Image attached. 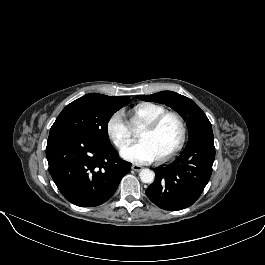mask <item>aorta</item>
<instances>
[{"instance_id": "762f6f07", "label": "aorta", "mask_w": 265, "mask_h": 265, "mask_svg": "<svg viewBox=\"0 0 265 265\" xmlns=\"http://www.w3.org/2000/svg\"><path fill=\"white\" fill-rule=\"evenodd\" d=\"M139 177L143 183H151L154 180V172L145 168L140 171Z\"/></svg>"}]
</instances>
